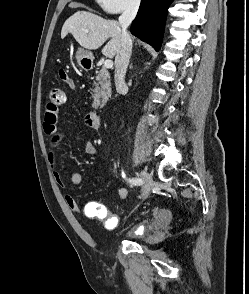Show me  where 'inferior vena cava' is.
<instances>
[{
    "instance_id": "1",
    "label": "inferior vena cava",
    "mask_w": 249,
    "mask_h": 294,
    "mask_svg": "<svg viewBox=\"0 0 249 294\" xmlns=\"http://www.w3.org/2000/svg\"><path fill=\"white\" fill-rule=\"evenodd\" d=\"M140 0H132L125 8L122 15L119 17V24L122 29L121 49L116 56L115 61V85L118 93L128 91L125 83V75L129 65L130 56L132 53V40L127 31V28L136 17Z\"/></svg>"
}]
</instances>
